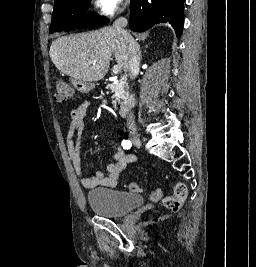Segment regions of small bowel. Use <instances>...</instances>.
<instances>
[{"mask_svg":"<svg viewBox=\"0 0 256 267\" xmlns=\"http://www.w3.org/2000/svg\"><path fill=\"white\" fill-rule=\"evenodd\" d=\"M88 112V102L80 103L70 113V123L67 130L66 144L70 161L76 174L80 177L81 184L86 189L96 187H105L108 189L116 188L121 173L127 165L136 162L133 154H126L122 149L116 150L113 154L112 161L107 166V175L101 171H96L87 175L81 165V135L85 128V119Z\"/></svg>","mask_w":256,"mask_h":267,"instance_id":"obj_1","label":"small bowel"}]
</instances>
